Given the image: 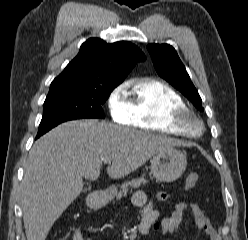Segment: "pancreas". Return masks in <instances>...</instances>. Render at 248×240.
<instances>
[{
    "mask_svg": "<svg viewBox=\"0 0 248 240\" xmlns=\"http://www.w3.org/2000/svg\"><path fill=\"white\" fill-rule=\"evenodd\" d=\"M146 183L147 181L143 177L133 179L131 181L124 183L121 186L122 191H120L117 195V199H121L122 196H126L129 188H139L141 184H146Z\"/></svg>",
    "mask_w": 248,
    "mask_h": 240,
    "instance_id": "1",
    "label": "pancreas"
}]
</instances>
